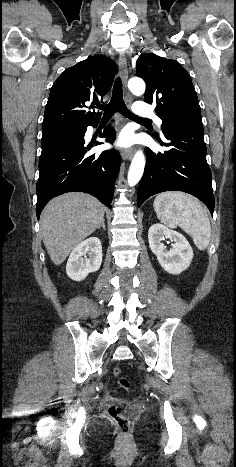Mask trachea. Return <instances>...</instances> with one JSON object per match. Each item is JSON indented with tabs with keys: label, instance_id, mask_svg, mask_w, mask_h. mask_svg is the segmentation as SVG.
Wrapping results in <instances>:
<instances>
[{
	"label": "trachea",
	"instance_id": "3493384b",
	"mask_svg": "<svg viewBox=\"0 0 236 467\" xmlns=\"http://www.w3.org/2000/svg\"><path fill=\"white\" fill-rule=\"evenodd\" d=\"M98 108L104 111L103 119H109L115 112H119L123 116L134 121L151 122L150 119H144L136 116L126 107L123 100L122 81L120 77H117L114 82L110 102L107 105H101Z\"/></svg>",
	"mask_w": 236,
	"mask_h": 467
}]
</instances>
